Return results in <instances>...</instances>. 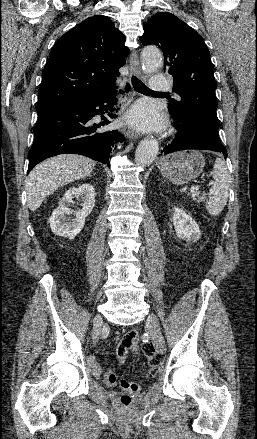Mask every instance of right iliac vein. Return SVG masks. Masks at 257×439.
Returning a JSON list of instances; mask_svg holds the SVG:
<instances>
[{
    "mask_svg": "<svg viewBox=\"0 0 257 439\" xmlns=\"http://www.w3.org/2000/svg\"><path fill=\"white\" fill-rule=\"evenodd\" d=\"M102 324H103L102 317L100 315H97L94 319V322H93V333H94L95 342L97 341V339L99 337Z\"/></svg>",
    "mask_w": 257,
    "mask_h": 439,
    "instance_id": "1",
    "label": "right iliac vein"
}]
</instances>
